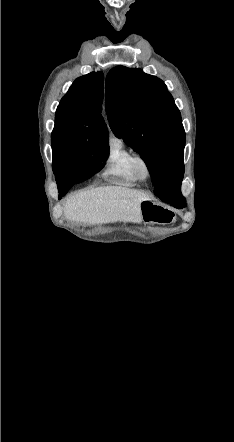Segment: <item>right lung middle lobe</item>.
<instances>
[{"label": "right lung middle lobe", "instance_id": "obj_1", "mask_svg": "<svg viewBox=\"0 0 234 442\" xmlns=\"http://www.w3.org/2000/svg\"><path fill=\"white\" fill-rule=\"evenodd\" d=\"M53 172L57 185L72 187L103 168L109 156L108 140L86 138L67 123H56L52 132Z\"/></svg>", "mask_w": 234, "mask_h": 442}]
</instances>
